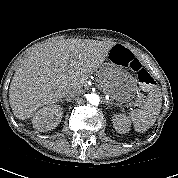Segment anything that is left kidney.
<instances>
[{
  "label": "left kidney",
  "mask_w": 178,
  "mask_h": 178,
  "mask_svg": "<svg viewBox=\"0 0 178 178\" xmlns=\"http://www.w3.org/2000/svg\"><path fill=\"white\" fill-rule=\"evenodd\" d=\"M112 123L114 128L119 133H126L130 129V121L129 119L123 114H115L112 117Z\"/></svg>",
  "instance_id": "5707ae66"
}]
</instances>
